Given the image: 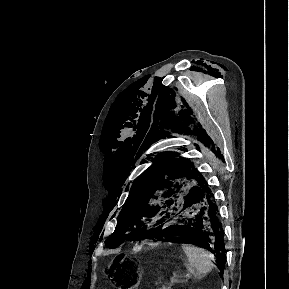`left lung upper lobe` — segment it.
Returning <instances> with one entry per match:
<instances>
[{"instance_id":"5c2ea615","label":"left lung upper lobe","mask_w":289,"mask_h":289,"mask_svg":"<svg viewBox=\"0 0 289 289\" xmlns=\"http://www.w3.org/2000/svg\"><path fill=\"white\" fill-rule=\"evenodd\" d=\"M175 155L160 154L134 182L107 246L116 248L126 241L143 240L165 223L172 203L186 187L205 182L191 161L173 159Z\"/></svg>"}]
</instances>
